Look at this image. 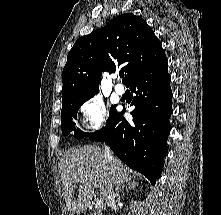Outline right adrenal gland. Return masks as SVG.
Wrapping results in <instances>:
<instances>
[{"instance_id":"right-adrenal-gland-1","label":"right adrenal gland","mask_w":221,"mask_h":215,"mask_svg":"<svg viewBox=\"0 0 221 215\" xmlns=\"http://www.w3.org/2000/svg\"><path fill=\"white\" fill-rule=\"evenodd\" d=\"M136 186H138V183L135 182V180H129L127 183L119 184L116 187V197L119 198L121 192L124 190H131L132 188L134 189Z\"/></svg>"}]
</instances>
